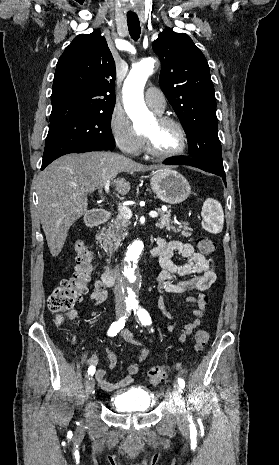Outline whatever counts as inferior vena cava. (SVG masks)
<instances>
[{
    "mask_svg": "<svg viewBox=\"0 0 279 465\" xmlns=\"http://www.w3.org/2000/svg\"><path fill=\"white\" fill-rule=\"evenodd\" d=\"M113 273H114V276L116 278V283H115V286L113 288V292H114V295H115V301L117 303H121V302L124 301L125 295H124V292L122 290V283L120 282V271H119V266L118 265L116 266Z\"/></svg>",
    "mask_w": 279,
    "mask_h": 465,
    "instance_id": "inferior-vena-cava-1",
    "label": "inferior vena cava"
}]
</instances>
